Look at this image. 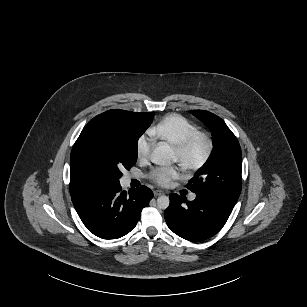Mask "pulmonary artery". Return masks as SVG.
<instances>
[{
	"label": "pulmonary artery",
	"mask_w": 307,
	"mask_h": 307,
	"mask_svg": "<svg viewBox=\"0 0 307 307\" xmlns=\"http://www.w3.org/2000/svg\"><path fill=\"white\" fill-rule=\"evenodd\" d=\"M195 197H196V195H195V194H192V195L190 196V199L193 200Z\"/></svg>",
	"instance_id": "1"
}]
</instances>
